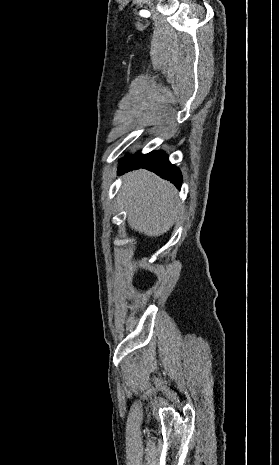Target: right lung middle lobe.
I'll return each instance as SVG.
<instances>
[{
    "instance_id": "right-lung-middle-lobe-1",
    "label": "right lung middle lobe",
    "mask_w": 279,
    "mask_h": 465,
    "mask_svg": "<svg viewBox=\"0 0 279 465\" xmlns=\"http://www.w3.org/2000/svg\"><path fill=\"white\" fill-rule=\"evenodd\" d=\"M164 152L162 151H152L148 154L142 155L141 153H137L134 156L124 157L120 160V167H125L128 165H135V164H147L156 158L163 155Z\"/></svg>"
}]
</instances>
